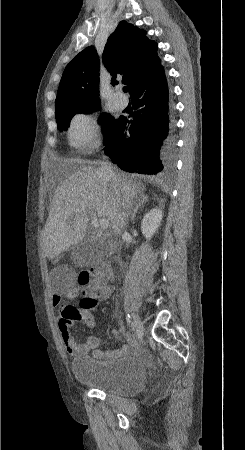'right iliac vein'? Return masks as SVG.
<instances>
[{"mask_svg":"<svg viewBox=\"0 0 245 450\" xmlns=\"http://www.w3.org/2000/svg\"><path fill=\"white\" fill-rule=\"evenodd\" d=\"M141 326V321L138 314L133 315L132 331H136Z\"/></svg>","mask_w":245,"mask_h":450,"instance_id":"right-iliac-vein-1","label":"right iliac vein"}]
</instances>
